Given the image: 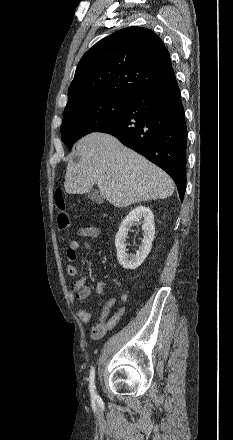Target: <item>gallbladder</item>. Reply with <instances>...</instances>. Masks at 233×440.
I'll return each instance as SVG.
<instances>
[{"instance_id": "bac80fb5", "label": "gallbladder", "mask_w": 233, "mask_h": 440, "mask_svg": "<svg viewBox=\"0 0 233 440\" xmlns=\"http://www.w3.org/2000/svg\"><path fill=\"white\" fill-rule=\"evenodd\" d=\"M88 197L96 202V203H103L104 202V197L102 196V194L97 191V190H91L88 192Z\"/></svg>"}]
</instances>
